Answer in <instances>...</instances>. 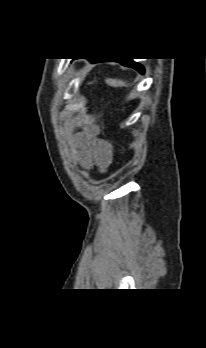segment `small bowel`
<instances>
[{
	"instance_id": "c3829d8e",
	"label": "small bowel",
	"mask_w": 206,
	"mask_h": 348,
	"mask_svg": "<svg viewBox=\"0 0 206 348\" xmlns=\"http://www.w3.org/2000/svg\"><path fill=\"white\" fill-rule=\"evenodd\" d=\"M80 147V162L82 166L90 168L96 166L101 171L108 169L112 162V145L90 134L76 136Z\"/></svg>"
}]
</instances>
